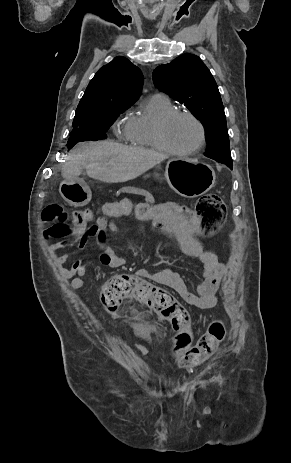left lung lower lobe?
Wrapping results in <instances>:
<instances>
[{"label":"left lung lower lobe","instance_id":"1","mask_svg":"<svg viewBox=\"0 0 291 463\" xmlns=\"http://www.w3.org/2000/svg\"><path fill=\"white\" fill-rule=\"evenodd\" d=\"M215 160V159H214ZM220 163H223V164H226L228 167H230L232 169L233 167V164H232V160L228 161V160H216Z\"/></svg>","mask_w":291,"mask_h":463}]
</instances>
